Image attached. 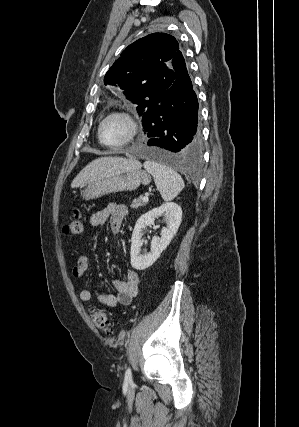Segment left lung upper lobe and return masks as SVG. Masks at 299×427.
Listing matches in <instances>:
<instances>
[{
    "label": "left lung upper lobe",
    "mask_w": 299,
    "mask_h": 427,
    "mask_svg": "<svg viewBox=\"0 0 299 427\" xmlns=\"http://www.w3.org/2000/svg\"><path fill=\"white\" fill-rule=\"evenodd\" d=\"M177 40L165 33H153L129 45L104 77L105 85L117 86L134 104L140 116L155 104L175 80L172 59Z\"/></svg>",
    "instance_id": "5c2ea615"
}]
</instances>
